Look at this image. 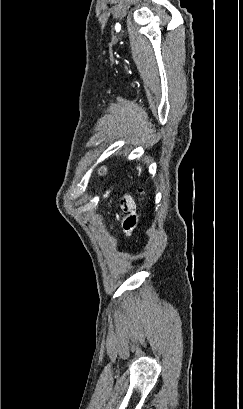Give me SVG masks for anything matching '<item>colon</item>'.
Instances as JSON below:
<instances>
[{
	"mask_svg": "<svg viewBox=\"0 0 243 409\" xmlns=\"http://www.w3.org/2000/svg\"><path fill=\"white\" fill-rule=\"evenodd\" d=\"M143 189H139V194H140V200H142L141 198H142V195H143Z\"/></svg>",
	"mask_w": 243,
	"mask_h": 409,
	"instance_id": "1",
	"label": "colon"
}]
</instances>
